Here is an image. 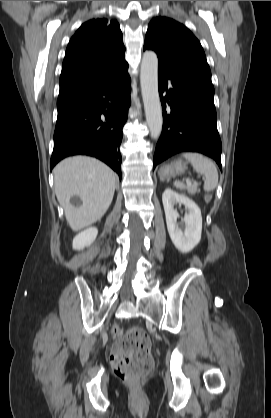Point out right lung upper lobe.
I'll list each match as a JSON object with an SVG mask.
<instances>
[{
	"label": "right lung upper lobe",
	"mask_w": 271,
	"mask_h": 418,
	"mask_svg": "<svg viewBox=\"0 0 271 418\" xmlns=\"http://www.w3.org/2000/svg\"><path fill=\"white\" fill-rule=\"evenodd\" d=\"M126 67L119 24L105 18L85 22L67 46L57 105L94 92Z\"/></svg>",
	"instance_id": "obj_1"
}]
</instances>
